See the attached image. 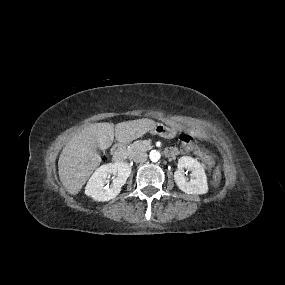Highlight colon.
Returning <instances> with one entry per match:
<instances>
[{
    "mask_svg": "<svg viewBox=\"0 0 285 285\" xmlns=\"http://www.w3.org/2000/svg\"><path fill=\"white\" fill-rule=\"evenodd\" d=\"M178 140L181 143H184L185 148L188 150H192V149L196 148L198 145L196 138L191 133L181 132L178 135ZM214 178H215V182H217V183L220 182V180L222 178L221 168L219 165H217L214 169Z\"/></svg>",
    "mask_w": 285,
    "mask_h": 285,
    "instance_id": "5ec220e1",
    "label": "colon"
}]
</instances>
